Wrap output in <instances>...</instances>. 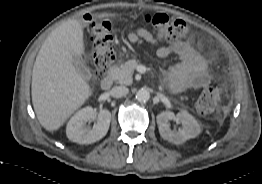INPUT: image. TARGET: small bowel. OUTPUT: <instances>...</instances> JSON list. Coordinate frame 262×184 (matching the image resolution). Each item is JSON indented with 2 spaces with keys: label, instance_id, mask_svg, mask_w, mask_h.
Returning <instances> with one entry per match:
<instances>
[{
  "label": "small bowel",
  "instance_id": "obj_1",
  "mask_svg": "<svg viewBox=\"0 0 262 184\" xmlns=\"http://www.w3.org/2000/svg\"><path fill=\"white\" fill-rule=\"evenodd\" d=\"M126 38L131 43L147 42L152 45H158L157 39L142 27L130 31ZM156 53L160 58L176 54L180 59V63L174 66L168 73L170 86L174 92L179 93L186 89L203 88L212 81L208 60L188 43L179 42L172 45L159 46Z\"/></svg>",
  "mask_w": 262,
  "mask_h": 184
}]
</instances>
